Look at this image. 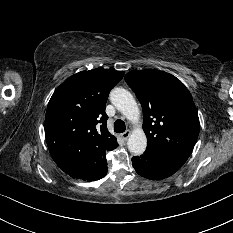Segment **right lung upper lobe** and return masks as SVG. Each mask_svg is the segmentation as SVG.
<instances>
[{
	"label": "right lung upper lobe",
	"instance_id": "right-lung-upper-lobe-1",
	"mask_svg": "<svg viewBox=\"0 0 233 233\" xmlns=\"http://www.w3.org/2000/svg\"><path fill=\"white\" fill-rule=\"evenodd\" d=\"M123 71L93 69L65 80L53 93L45 116V136L55 163L68 174L100 173L106 152L118 147L107 129L105 104Z\"/></svg>",
	"mask_w": 233,
	"mask_h": 233
}]
</instances>
